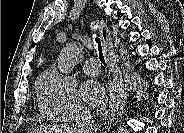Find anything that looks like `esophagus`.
<instances>
[{"label":"esophagus","instance_id":"esophagus-1","mask_svg":"<svg viewBox=\"0 0 184 133\" xmlns=\"http://www.w3.org/2000/svg\"><path fill=\"white\" fill-rule=\"evenodd\" d=\"M99 35H100V39H101L102 46L104 48L105 53L108 55L109 59L112 60L111 59V53L109 51L110 46H111V41H110L108 30H107L104 23L100 24Z\"/></svg>","mask_w":184,"mask_h":133}]
</instances>
